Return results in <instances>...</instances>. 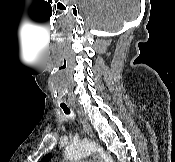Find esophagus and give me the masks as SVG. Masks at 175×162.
I'll return each mask as SVG.
<instances>
[{"label":"esophagus","mask_w":175,"mask_h":162,"mask_svg":"<svg viewBox=\"0 0 175 162\" xmlns=\"http://www.w3.org/2000/svg\"><path fill=\"white\" fill-rule=\"evenodd\" d=\"M79 117H80V121L83 125V128H84V131L85 133L90 136V137H93V133H92V129L89 125V123L87 122V120L83 117V115L81 114L80 111H77ZM93 160L94 162H100V159L99 157L96 155V154H93Z\"/></svg>","instance_id":"1"}]
</instances>
